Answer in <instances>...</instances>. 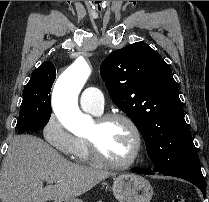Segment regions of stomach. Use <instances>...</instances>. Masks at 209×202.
<instances>
[{
    "label": "stomach",
    "mask_w": 209,
    "mask_h": 202,
    "mask_svg": "<svg viewBox=\"0 0 209 202\" xmlns=\"http://www.w3.org/2000/svg\"><path fill=\"white\" fill-rule=\"evenodd\" d=\"M113 194L119 202H150L153 188L149 181L135 174H122L114 179ZM56 202H82L80 199H61Z\"/></svg>",
    "instance_id": "0dacf381"
}]
</instances>
